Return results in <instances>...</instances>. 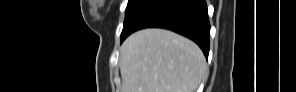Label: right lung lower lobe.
I'll return each mask as SVG.
<instances>
[{"instance_id":"right-lung-lower-lobe-1","label":"right lung lower lobe","mask_w":296,"mask_h":92,"mask_svg":"<svg viewBox=\"0 0 296 92\" xmlns=\"http://www.w3.org/2000/svg\"><path fill=\"white\" fill-rule=\"evenodd\" d=\"M148 27L165 28L186 36L208 57L210 23L205 0H154L134 22L129 34Z\"/></svg>"}]
</instances>
